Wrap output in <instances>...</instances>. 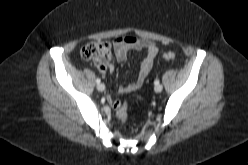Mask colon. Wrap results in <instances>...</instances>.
Listing matches in <instances>:
<instances>
[{
    "label": "colon",
    "instance_id": "obj_1",
    "mask_svg": "<svg viewBox=\"0 0 248 165\" xmlns=\"http://www.w3.org/2000/svg\"><path fill=\"white\" fill-rule=\"evenodd\" d=\"M81 57L85 60L95 61L100 69H105L106 64L111 60V48L107 42L91 41L86 43L81 49ZM166 60H173L175 53L168 51L163 55ZM116 110L117 117L124 122L127 119V105L118 100L111 101Z\"/></svg>",
    "mask_w": 248,
    "mask_h": 165
}]
</instances>
